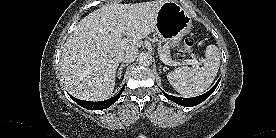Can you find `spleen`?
Listing matches in <instances>:
<instances>
[{
	"instance_id": "1",
	"label": "spleen",
	"mask_w": 276,
	"mask_h": 138,
	"mask_svg": "<svg viewBox=\"0 0 276 138\" xmlns=\"http://www.w3.org/2000/svg\"><path fill=\"white\" fill-rule=\"evenodd\" d=\"M205 61L201 68L178 67L167 74L172 87L186 97L197 96L213 83L220 66V53L215 45L205 51Z\"/></svg>"
}]
</instances>
